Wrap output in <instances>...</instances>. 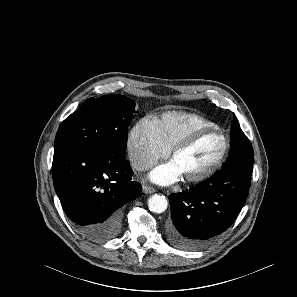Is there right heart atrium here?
I'll return each instance as SVG.
<instances>
[{
    "label": "right heart atrium",
    "mask_w": 297,
    "mask_h": 297,
    "mask_svg": "<svg viewBox=\"0 0 297 297\" xmlns=\"http://www.w3.org/2000/svg\"><path fill=\"white\" fill-rule=\"evenodd\" d=\"M126 151L131 166L138 171L149 169L168 153L156 136L153 121L147 118L139 120L130 129Z\"/></svg>",
    "instance_id": "right-heart-atrium-1"
}]
</instances>
